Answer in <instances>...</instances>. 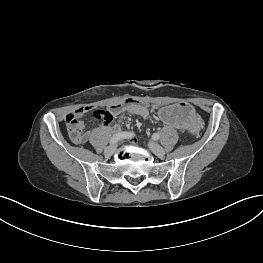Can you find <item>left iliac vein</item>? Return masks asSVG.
I'll list each match as a JSON object with an SVG mask.
<instances>
[{
	"label": "left iliac vein",
	"instance_id": "left-iliac-vein-1",
	"mask_svg": "<svg viewBox=\"0 0 263 263\" xmlns=\"http://www.w3.org/2000/svg\"><path fill=\"white\" fill-rule=\"evenodd\" d=\"M148 147L158 157H163L165 155V150L153 141L148 143Z\"/></svg>",
	"mask_w": 263,
	"mask_h": 263
}]
</instances>
